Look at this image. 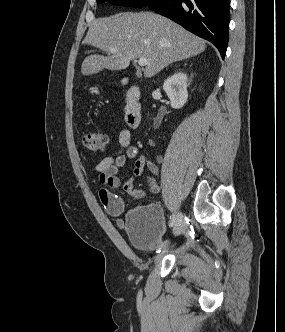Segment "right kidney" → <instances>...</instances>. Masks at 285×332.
<instances>
[{
    "mask_svg": "<svg viewBox=\"0 0 285 332\" xmlns=\"http://www.w3.org/2000/svg\"><path fill=\"white\" fill-rule=\"evenodd\" d=\"M163 89L170 99L171 107L182 108L188 99L187 75L183 72L173 74L164 81Z\"/></svg>",
    "mask_w": 285,
    "mask_h": 332,
    "instance_id": "1",
    "label": "right kidney"
}]
</instances>
